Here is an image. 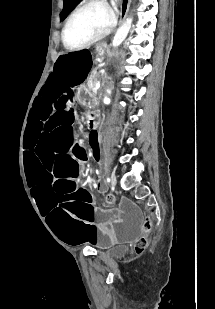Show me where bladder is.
Wrapping results in <instances>:
<instances>
[{
  "label": "bladder",
  "mask_w": 215,
  "mask_h": 309,
  "mask_svg": "<svg viewBox=\"0 0 215 309\" xmlns=\"http://www.w3.org/2000/svg\"><path fill=\"white\" fill-rule=\"evenodd\" d=\"M124 254V249H121V248H116V249H113L111 252H110V255L112 257H119L121 255Z\"/></svg>",
  "instance_id": "1"
}]
</instances>
